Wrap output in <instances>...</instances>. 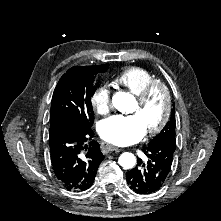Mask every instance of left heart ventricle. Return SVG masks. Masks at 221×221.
Instances as JSON below:
<instances>
[{"label": "left heart ventricle", "instance_id": "1", "mask_svg": "<svg viewBox=\"0 0 221 221\" xmlns=\"http://www.w3.org/2000/svg\"><path fill=\"white\" fill-rule=\"evenodd\" d=\"M165 108V98L161 91L155 92L145 108H140L136 102L130 115L139 117L145 129L155 126L161 119Z\"/></svg>", "mask_w": 221, "mask_h": 221}]
</instances>
